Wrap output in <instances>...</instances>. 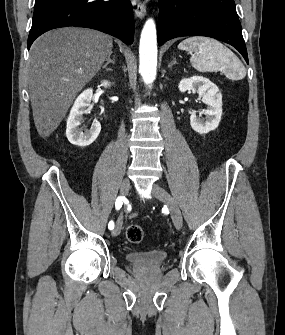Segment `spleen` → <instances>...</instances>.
<instances>
[{
    "label": "spleen",
    "instance_id": "obj_1",
    "mask_svg": "<svg viewBox=\"0 0 285 335\" xmlns=\"http://www.w3.org/2000/svg\"><path fill=\"white\" fill-rule=\"evenodd\" d=\"M178 48L191 54L190 64L198 72H215V70L230 68V70H237L241 78L246 76V70L235 54H232L231 50L225 48L217 40L194 36V38L183 40Z\"/></svg>",
    "mask_w": 285,
    "mask_h": 335
}]
</instances>
